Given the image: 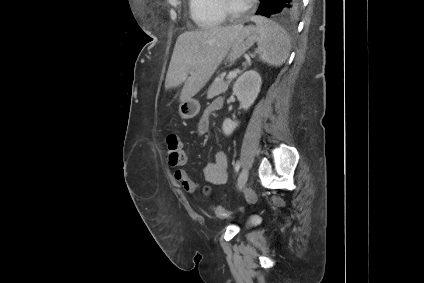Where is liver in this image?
<instances>
[{
	"label": "liver",
	"instance_id": "6515ba94",
	"mask_svg": "<svg viewBox=\"0 0 424 283\" xmlns=\"http://www.w3.org/2000/svg\"><path fill=\"white\" fill-rule=\"evenodd\" d=\"M242 28L243 24H238L182 33L174 47L165 88L184 83L180 101L196 95L226 57L231 43Z\"/></svg>",
	"mask_w": 424,
	"mask_h": 283
}]
</instances>
